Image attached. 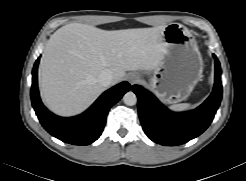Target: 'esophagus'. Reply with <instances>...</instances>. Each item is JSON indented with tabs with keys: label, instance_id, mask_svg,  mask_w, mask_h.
<instances>
[{
	"label": "esophagus",
	"instance_id": "34e87169",
	"mask_svg": "<svg viewBox=\"0 0 246 181\" xmlns=\"http://www.w3.org/2000/svg\"><path fill=\"white\" fill-rule=\"evenodd\" d=\"M127 80L131 85H133L139 81V76L135 73H131L127 76Z\"/></svg>",
	"mask_w": 246,
	"mask_h": 181
}]
</instances>
